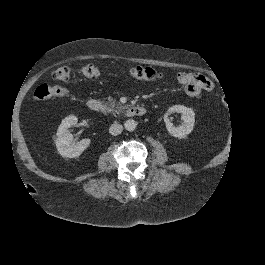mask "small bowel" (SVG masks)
Listing matches in <instances>:
<instances>
[{
	"label": "small bowel",
	"mask_w": 265,
	"mask_h": 265,
	"mask_svg": "<svg viewBox=\"0 0 265 265\" xmlns=\"http://www.w3.org/2000/svg\"><path fill=\"white\" fill-rule=\"evenodd\" d=\"M177 81L183 85L186 94L192 97L198 96L203 90L210 91L213 88V83L198 73H179Z\"/></svg>",
	"instance_id": "small-bowel-1"
}]
</instances>
